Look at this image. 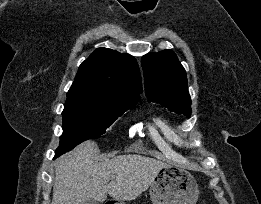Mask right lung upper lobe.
<instances>
[{"instance_id": "right-lung-upper-lobe-1", "label": "right lung upper lobe", "mask_w": 261, "mask_h": 204, "mask_svg": "<svg viewBox=\"0 0 261 204\" xmlns=\"http://www.w3.org/2000/svg\"><path fill=\"white\" fill-rule=\"evenodd\" d=\"M142 93L136 59L108 48L96 49L79 67L67 97L87 96L104 104L138 102Z\"/></svg>"}]
</instances>
